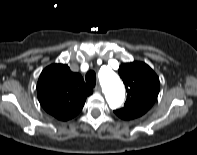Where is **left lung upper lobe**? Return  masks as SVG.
I'll use <instances>...</instances> for the list:
<instances>
[{
  "mask_svg": "<svg viewBox=\"0 0 197 155\" xmlns=\"http://www.w3.org/2000/svg\"><path fill=\"white\" fill-rule=\"evenodd\" d=\"M119 75L128 93L123 108L115 114L124 120H131L145 114L157 99L160 83L156 73L143 62L124 63Z\"/></svg>",
  "mask_w": 197,
  "mask_h": 155,
  "instance_id": "5c2ea615",
  "label": "left lung upper lobe"
}]
</instances>
